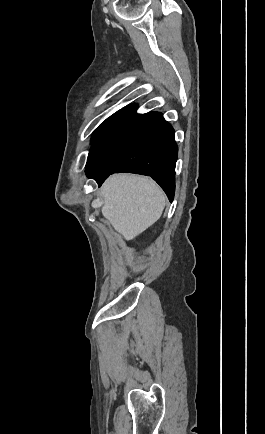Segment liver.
Masks as SVG:
<instances>
[{
  "mask_svg": "<svg viewBox=\"0 0 265 434\" xmlns=\"http://www.w3.org/2000/svg\"><path fill=\"white\" fill-rule=\"evenodd\" d=\"M101 190L102 216L125 240H133L157 222L166 204L163 190L144 176L116 174Z\"/></svg>",
  "mask_w": 265,
  "mask_h": 434,
  "instance_id": "liver-1",
  "label": "liver"
}]
</instances>
